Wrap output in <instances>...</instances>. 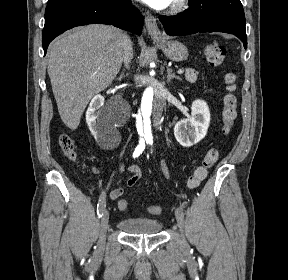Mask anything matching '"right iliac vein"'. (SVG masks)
<instances>
[{
    "label": "right iliac vein",
    "instance_id": "63e3f726",
    "mask_svg": "<svg viewBox=\"0 0 288 280\" xmlns=\"http://www.w3.org/2000/svg\"><path fill=\"white\" fill-rule=\"evenodd\" d=\"M109 222V212L106 210L104 211L101 221H100V237L98 242V251H102L105 244V236Z\"/></svg>",
    "mask_w": 288,
    "mask_h": 280
}]
</instances>
